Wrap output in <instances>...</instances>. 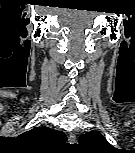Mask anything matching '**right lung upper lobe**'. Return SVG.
<instances>
[{"label": "right lung upper lobe", "mask_w": 135, "mask_h": 153, "mask_svg": "<svg viewBox=\"0 0 135 153\" xmlns=\"http://www.w3.org/2000/svg\"><path fill=\"white\" fill-rule=\"evenodd\" d=\"M18 138L37 146H47L58 141L65 142L67 140V137L63 132L46 127L31 129L18 136Z\"/></svg>", "instance_id": "right-lung-upper-lobe-1"}]
</instances>
